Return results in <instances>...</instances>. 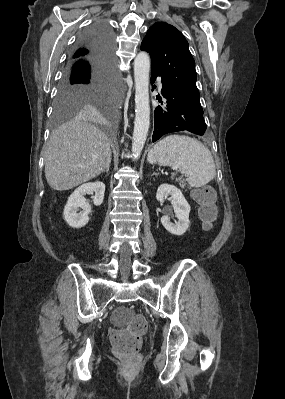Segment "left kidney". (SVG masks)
Returning a JSON list of instances; mask_svg holds the SVG:
<instances>
[{
	"instance_id": "1",
	"label": "left kidney",
	"mask_w": 285,
	"mask_h": 399,
	"mask_svg": "<svg viewBox=\"0 0 285 399\" xmlns=\"http://www.w3.org/2000/svg\"><path fill=\"white\" fill-rule=\"evenodd\" d=\"M168 195L171 196V203L173 205L174 212L176 213L178 221L176 222V224H173L170 222V218L165 215L162 216L161 223L169 233L181 236L189 228L190 205L186 201L180 189H178L174 185H160L156 193L157 201L163 203L164 197Z\"/></svg>"
}]
</instances>
